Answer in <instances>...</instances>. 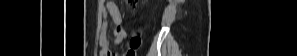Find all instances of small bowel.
<instances>
[{
	"label": "small bowel",
	"instance_id": "c3829d8e",
	"mask_svg": "<svg viewBox=\"0 0 297 56\" xmlns=\"http://www.w3.org/2000/svg\"><path fill=\"white\" fill-rule=\"evenodd\" d=\"M104 14H109L116 24V28L114 30V45L120 44L126 37L125 30L122 27V16L119 11L118 6L112 2L108 1L105 4V12ZM108 24L105 22L102 25L101 35L99 39L100 44V55L101 56H113L114 54L111 52L110 43L107 37Z\"/></svg>",
	"mask_w": 297,
	"mask_h": 56
}]
</instances>
